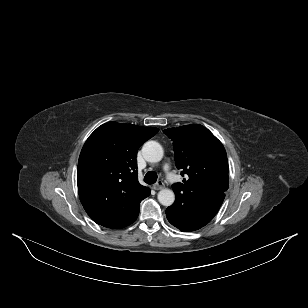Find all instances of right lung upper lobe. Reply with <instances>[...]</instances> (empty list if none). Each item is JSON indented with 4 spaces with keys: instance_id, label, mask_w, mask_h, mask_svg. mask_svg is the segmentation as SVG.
<instances>
[{
    "instance_id": "right-lung-upper-lobe-1",
    "label": "right lung upper lobe",
    "mask_w": 308,
    "mask_h": 308,
    "mask_svg": "<svg viewBox=\"0 0 308 308\" xmlns=\"http://www.w3.org/2000/svg\"><path fill=\"white\" fill-rule=\"evenodd\" d=\"M158 132L154 127L108 122L85 142L78 161L81 203L97 223L111 229L130 224L150 189L137 180L139 147Z\"/></svg>"
}]
</instances>
